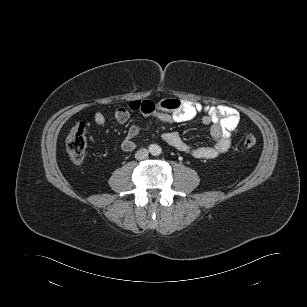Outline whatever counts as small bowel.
Here are the masks:
<instances>
[{
	"label": "small bowel",
	"instance_id": "1",
	"mask_svg": "<svg viewBox=\"0 0 307 307\" xmlns=\"http://www.w3.org/2000/svg\"><path fill=\"white\" fill-rule=\"evenodd\" d=\"M130 111L140 112L146 120L157 118L167 123L187 122L200 115L202 123L210 129L212 145L191 146L175 131L165 132L162 135L165 143L197 159H213L227 152L240 120L237 110L233 107L227 105L203 107L197 103L174 98L163 99L157 103L151 100L133 101L128 107L117 108L114 119L118 123H125L130 117ZM93 120L97 126H103L106 121L101 112H96ZM140 131L141 127L137 124L129 127L121 144L124 151L131 152L136 148V138Z\"/></svg>",
	"mask_w": 307,
	"mask_h": 307
}]
</instances>
